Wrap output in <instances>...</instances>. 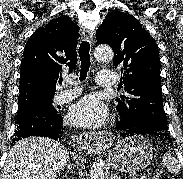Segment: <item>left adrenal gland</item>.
I'll use <instances>...</instances> for the list:
<instances>
[{
    "label": "left adrenal gland",
    "instance_id": "a2214340",
    "mask_svg": "<svg viewBox=\"0 0 183 179\" xmlns=\"http://www.w3.org/2000/svg\"><path fill=\"white\" fill-rule=\"evenodd\" d=\"M110 179H121L117 174H112Z\"/></svg>",
    "mask_w": 183,
    "mask_h": 179
}]
</instances>
